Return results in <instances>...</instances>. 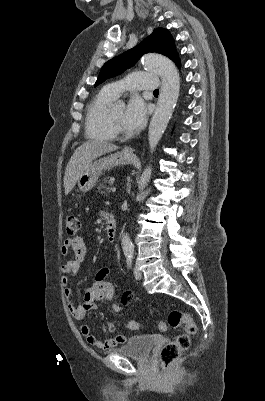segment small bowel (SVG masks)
<instances>
[{
    "instance_id": "small-bowel-1",
    "label": "small bowel",
    "mask_w": 265,
    "mask_h": 401,
    "mask_svg": "<svg viewBox=\"0 0 265 401\" xmlns=\"http://www.w3.org/2000/svg\"><path fill=\"white\" fill-rule=\"evenodd\" d=\"M70 251L73 252L74 258L66 261L61 266V281L64 286V297L70 314L73 318L82 320L87 312L96 309L98 302L110 301L113 298L114 287L107 280L110 275V269L108 267H102L96 272L93 285L85 291L82 303L75 304L73 302V292L69 288V283L71 279L77 275L81 263L87 256V248L82 237L76 236L73 238H67L63 242L61 247L62 254L68 255ZM132 297V291L124 292L121 298V303L113 304L112 311L114 313L121 312L123 307L131 301ZM79 331L89 345L97 347L103 351H108L127 341L126 336L122 334H118L114 338L100 340L91 333L90 327L87 324H81ZM103 331L106 334L114 333V324L106 322Z\"/></svg>"
}]
</instances>
